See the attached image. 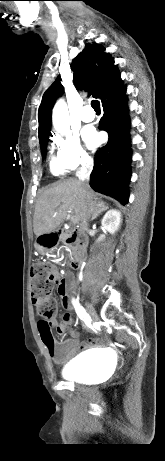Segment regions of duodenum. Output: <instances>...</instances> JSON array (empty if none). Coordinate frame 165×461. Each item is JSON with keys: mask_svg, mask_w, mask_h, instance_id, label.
<instances>
[{"mask_svg": "<svg viewBox=\"0 0 165 461\" xmlns=\"http://www.w3.org/2000/svg\"><path fill=\"white\" fill-rule=\"evenodd\" d=\"M45 239L47 240H55V241H63L67 245H72L75 247V254L73 257V261L71 263L72 267L75 269H79L80 265L85 256V241L83 237L77 232H66L63 229H58L52 233L46 234ZM69 284H67V289Z\"/></svg>", "mask_w": 165, "mask_h": 461, "instance_id": "410a0bca", "label": "duodenum"}]
</instances>
